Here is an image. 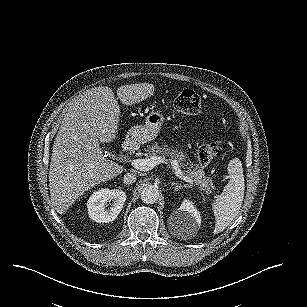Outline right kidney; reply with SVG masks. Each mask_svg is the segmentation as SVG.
Returning a JSON list of instances; mask_svg holds the SVG:
<instances>
[{"label": "right kidney", "mask_w": 307, "mask_h": 307, "mask_svg": "<svg viewBox=\"0 0 307 307\" xmlns=\"http://www.w3.org/2000/svg\"><path fill=\"white\" fill-rule=\"evenodd\" d=\"M126 198V193L121 188H99L87 199V214L97 223L114 221L122 211ZM111 200H114L112 206L105 210L106 203Z\"/></svg>", "instance_id": "1"}]
</instances>
